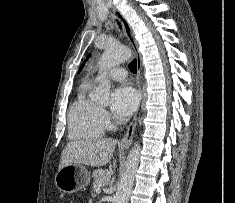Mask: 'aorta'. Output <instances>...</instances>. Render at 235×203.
Returning a JSON list of instances; mask_svg holds the SVG:
<instances>
[{
    "instance_id": "762f6f07",
    "label": "aorta",
    "mask_w": 235,
    "mask_h": 203,
    "mask_svg": "<svg viewBox=\"0 0 235 203\" xmlns=\"http://www.w3.org/2000/svg\"><path fill=\"white\" fill-rule=\"evenodd\" d=\"M130 57L131 51L129 48L115 43L107 45L98 63L101 81L92 95L95 102L102 105L109 104L111 85L106 73L109 69L120 65ZM139 158L140 145L135 143L126 160L124 173L114 196V203H128L138 169Z\"/></svg>"
}]
</instances>
